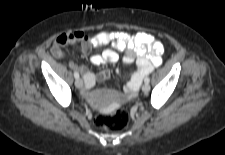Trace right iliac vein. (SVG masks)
I'll list each match as a JSON object with an SVG mask.
<instances>
[{
  "label": "right iliac vein",
  "instance_id": "right-iliac-vein-1",
  "mask_svg": "<svg viewBox=\"0 0 225 155\" xmlns=\"http://www.w3.org/2000/svg\"><path fill=\"white\" fill-rule=\"evenodd\" d=\"M75 86L80 89L83 86V81L80 78H77L75 80Z\"/></svg>",
  "mask_w": 225,
  "mask_h": 155
}]
</instances>
